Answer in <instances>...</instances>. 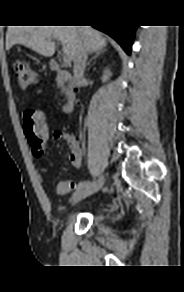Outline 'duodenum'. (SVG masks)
Listing matches in <instances>:
<instances>
[{
    "mask_svg": "<svg viewBox=\"0 0 184 292\" xmlns=\"http://www.w3.org/2000/svg\"><path fill=\"white\" fill-rule=\"evenodd\" d=\"M50 66H51V69L54 72H56V74H57L59 88L61 89V91L64 95H67V100L64 104V108L66 111H71L72 110V101H71V98L69 97V91L67 89V83L70 80V75L68 72L61 69L58 61L55 59L51 60Z\"/></svg>",
    "mask_w": 184,
    "mask_h": 292,
    "instance_id": "410a0bca",
    "label": "duodenum"
}]
</instances>
